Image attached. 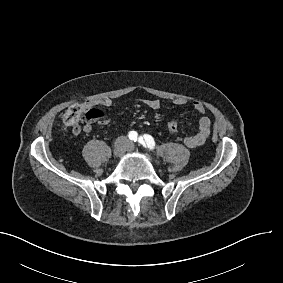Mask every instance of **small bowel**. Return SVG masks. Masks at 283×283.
Returning a JSON list of instances; mask_svg holds the SVG:
<instances>
[{
    "label": "small bowel",
    "instance_id": "c3829d8e",
    "mask_svg": "<svg viewBox=\"0 0 283 283\" xmlns=\"http://www.w3.org/2000/svg\"><path fill=\"white\" fill-rule=\"evenodd\" d=\"M137 103L142 104L148 107L151 110H159L161 108V101L158 99H139L136 100ZM181 104V103H178ZM113 105V100L111 98H101L99 100H88L81 104V109L85 111V119L87 121H95L106 123L107 122V114L105 112H101L96 109V107H111ZM193 107L196 113L200 116L198 121V129L197 132L191 136H187L184 138L183 142L185 146L190 149H195L200 147L205 143L211 133V119L205 115V107L200 102H194ZM174 116H178V113L175 112ZM168 127V125H167ZM92 131V125L87 123L84 126V132L90 133Z\"/></svg>",
    "mask_w": 283,
    "mask_h": 283
}]
</instances>
